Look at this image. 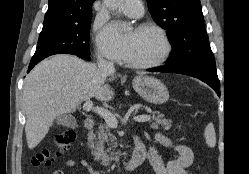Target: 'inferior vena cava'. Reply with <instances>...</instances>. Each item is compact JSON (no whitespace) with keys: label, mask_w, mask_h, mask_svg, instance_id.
<instances>
[{"label":"inferior vena cava","mask_w":249,"mask_h":174,"mask_svg":"<svg viewBox=\"0 0 249 174\" xmlns=\"http://www.w3.org/2000/svg\"><path fill=\"white\" fill-rule=\"evenodd\" d=\"M98 68L105 75H111L115 72L114 64L112 62H108L102 58L98 59Z\"/></svg>","instance_id":"602c4592"}]
</instances>
